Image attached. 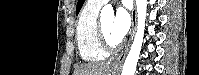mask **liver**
Wrapping results in <instances>:
<instances>
[{
    "instance_id": "1",
    "label": "liver",
    "mask_w": 199,
    "mask_h": 75,
    "mask_svg": "<svg viewBox=\"0 0 199 75\" xmlns=\"http://www.w3.org/2000/svg\"><path fill=\"white\" fill-rule=\"evenodd\" d=\"M112 65L110 63H88L75 68L74 75H111Z\"/></svg>"
}]
</instances>
